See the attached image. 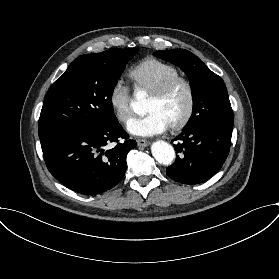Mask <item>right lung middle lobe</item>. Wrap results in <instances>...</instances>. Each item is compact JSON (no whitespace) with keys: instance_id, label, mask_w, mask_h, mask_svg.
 <instances>
[{"instance_id":"1","label":"right lung middle lobe","mask_w":279,"mask_h":279,"mask_svg":"<svg viewBox=\"0 0 279 279\" xmlns=\"http://www.w3.org/2000/svg\"><path fill=\"white\" fill-rule=\"evenodd\" d=\"M137 52L114 48L74 60L44 100L38 125L41 147L68 134L116 123L113 90Z\"/></svg>"}]
</instances>
